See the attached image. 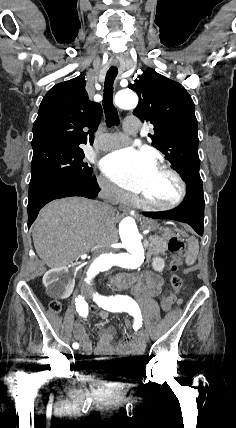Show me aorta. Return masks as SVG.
Here are the masks:
<instances>
[{"label": "aorta", "instance_id": "obj_1", "mask_svg": "<svg viewBox=\"0 0 236 428\" xmlns=\"http://www.w3.org/2000/svg\"><path fill=\"white\" fill-rule=\"evenodd\" d=\"M115 103L122 109H133L138 104V97L131 90H122L115 95ZM119 235L126 252L118 254L107 252L94 259L87 267L83 277L82 286L84 290H89L95 278L113 266L136 269L144 262L145 247L133 217L127 216L120 222Z\"/></svg>", "mask_w": 236, "mask_h": 428}]
</instances>
